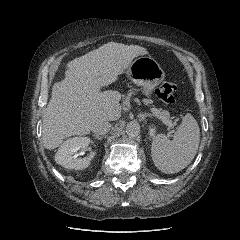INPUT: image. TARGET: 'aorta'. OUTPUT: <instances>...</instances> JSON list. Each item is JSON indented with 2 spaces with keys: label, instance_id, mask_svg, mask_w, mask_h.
Instances as JSON below:
<instances>
[{
  "label": "aorta",
  "instance_id": "aorta-1",
  "mask_svg": "<svg viewBox=\"0 0 240 240\" xmlns=\"http://www.w3.org/2000/svg\"><path fill=\"white\" fill-rule=\"evenodd\" d=\"M125 132L128 136H137L140 133V125L136 121H130L127 123Z\"/></svg>",
  "mask_w": 240,
  "mask_h": 240
}]
</instances>
